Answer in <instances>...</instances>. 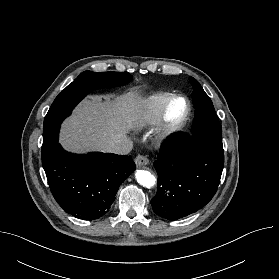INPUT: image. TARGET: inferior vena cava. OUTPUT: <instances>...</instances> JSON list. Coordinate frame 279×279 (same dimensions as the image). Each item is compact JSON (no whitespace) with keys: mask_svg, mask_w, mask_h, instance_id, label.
<instances>
[{"mask_svg":"<svg viewBox=\"0 0 279 279\" xmlns=\"http://www.w3.org/2000/svg\"><path fill=\"white\" fill-rule=\"evenodd\" d=\"M132 148L133 142L129 138H124L106 145L105 152L126 155L132 150Z\"/></svg>","mask_w":279,"mask_h":279,"instance_id":"inferior-vena-cava-1","label":"inferior vena cava"}]
</instances>
